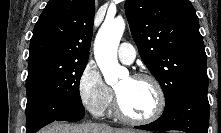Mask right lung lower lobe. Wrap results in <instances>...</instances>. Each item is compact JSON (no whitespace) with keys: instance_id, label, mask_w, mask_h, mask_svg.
<instances>
[{"instance_id":"98d812e1","label":"right lung lower lobe","mask_w":221,"mask_h":133,"mask_svg":"<svg viewBox=\"0 0 221 133\" xmlns=\"http://www.w3.org/2000/svg\"><path fill=\"white\" fill-rule=\"evenodd\" d=\"M84 107L79 103L52 104L36 96L27 98L26 133H36L45 125L56 121H78L83 118Z\"/></svg>"}]
</instances>
